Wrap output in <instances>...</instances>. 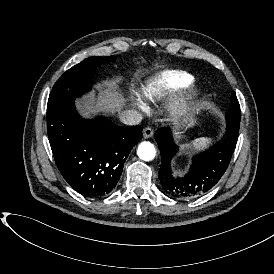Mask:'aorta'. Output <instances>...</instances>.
Masks as SVG:
<instances>
[{"instance_id":"aorta-1","label":"aorta","mask_w":274,"mask_h":274,"mask_svg":"<svg viewBox=\"0 0 274 274\" xmlns=\"http://www.w3.org/2000/svg\"><path fill=\"white\" fill-rule=\"evenodd\" d=\"M137 155L144 161H151L156 155L155 147L152 143L144 141L137 149Z\"/></svg>"}]
</instances>
